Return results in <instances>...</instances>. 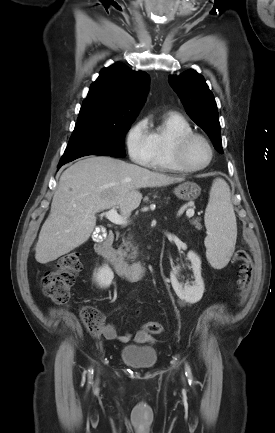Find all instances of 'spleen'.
<instances>
[{
  "label": "spleen",
  "instance_id": "1",
  "mask_svg": "<svg viewBox=\"0 0 275 433\" xmlns=\"http://www.w3.org/2000/svg\"><path fill=\"white\" fill-rule=\"evenodd\" d=\"M204 219L207 229L204 241L206 257L214 268L221 269L230 261L237 238L230 189L222 179H216L212 184Z\"/></svg>",
  "mask_w": 275,
  "mask_h": 433
}]
</instances>
